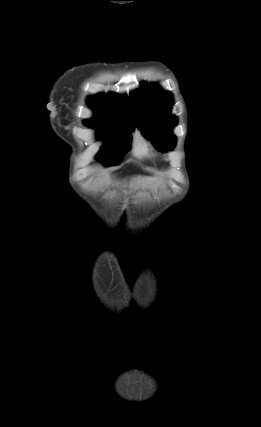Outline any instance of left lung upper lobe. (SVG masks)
I'll return each mask as SVG.
<instances>
[{"label": "left lung upper lobe", "instance_id": "1", "mask_svg": "<svg viewBox=\"0 0 261 427\" xmlns=\"http://www.w3.org/2000/svg\"><path fill=\"white\" fill-rule=\"evenodd\" d=\"M131 106L135 124L154 147L164 152L171 149L175 137L171 133L177 119L170 114L173 98L169 92L156 85H146L131 93Z\"/></svg>", "mask_w": 261, "mask_h": 427}]
</instances>
